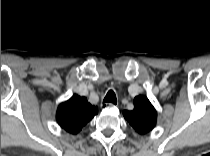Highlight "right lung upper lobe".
I'll use <instances>...</instances> for the list:
<instances>
[{
	"mask_svg": "<svg viewBox=\"0 0 210 156\" xmlns=\"http://www.w3.org/2000/svg\"><path fill=\"white\" fill-rule=\"evenodd\" d=\"M98 113L85 97L73 95L59 105L56 112L58 124L67 132L77 134Z\"/></svg>",
	"mask_w": 210,
	"mask_h": 156,
	"instance_id": "obj_1",
	"label": "right lung upper lobe"
}]
</instances>
